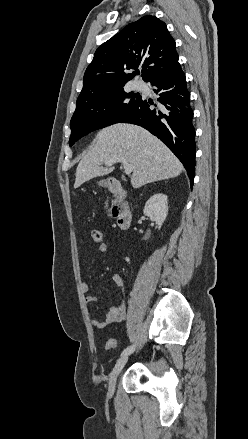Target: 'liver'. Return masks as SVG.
Instances as JSON below:
<instances>
[{
    "label": "liver",
    "instance_id": "obj_1",
    "mask_svg": "<svg viewBox=\"0 0 248 439\" xmlns=\"http://www.w3.org/2000/svg\"><path fill=\"white\" fill-rule=\"evenodd\" d=\"M118 158L133 165V188L177 177L184 169L177 157L157 137L142 127L119 123L98 132L95 145L77 166L74 188L111 173L113 168L103 167L102 164Z\"/></svg>",
    "mask_w": 248,
    "mask_h": 439
}]
</instances>
